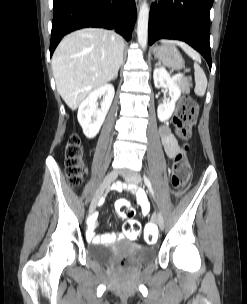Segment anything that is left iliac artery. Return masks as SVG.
<instances>
[{
	"instance_id": "left-iliac-artery-1",
	"label": "left iliac artery",
	"mask_w": 247,
	"mask_h": 304,
	"mask_svg": "<svg viewBox=\"0 0 247 304\" xmlns=\"http://www.w3.org/2000/svg\"><path fill=\"white\" fill-rule=\"evenodd\" d=\"M143 179H144L145 185L148 187L151 195L155 199L154 191H153V188H152V185H151V182H150L149 178L145 174H143Z\"/></svg>"
}]
</instances>
